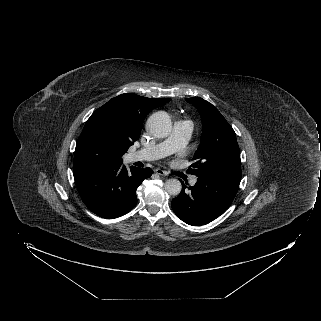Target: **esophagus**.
<instances>
[{"instance_id": "1", "label": "esophagus", "mask_w": 321, "mask_h": 321, "mask_svg": "<svg viewBox=\"0 0 321 321\" xmlns=\"http://www.w3.org/2000/svg\"><path fill=\"white\" fill-rule=\"evenodd\" d=\"M154 172L158 175H161V176H167L168 173L162 169H154Z\"/></svg>"}]
</instances>
